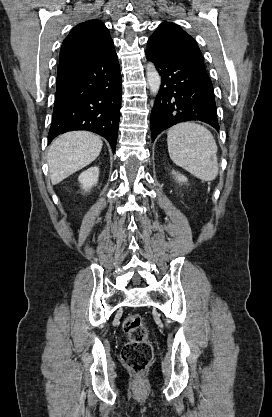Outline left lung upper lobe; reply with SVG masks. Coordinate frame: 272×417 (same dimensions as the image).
I'll return each instance as SVG.
<instances>
[{
  "mask_svg": "<svg viewBox=\"0 0 272 417\" xmlns=\"http://www.w3.org/2000/svg\"><path fill=\"white\" fill-rule=\"evenodd\" d=\"M147 49L158 54L180 56L204 63L196 41L173 23L160 24L149 38Z\"/></svg>",
  "mask_w": 272,
  "mask_h": 417,
  "instance_id": "1",
  "label": "left lung upper lobe"
}]
</instances>
